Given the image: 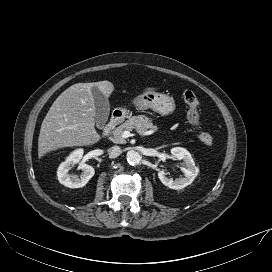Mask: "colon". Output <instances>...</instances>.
<instances>
[{
	"label": "colon",
	"mask_w": 272,
	"mask_h": 272,
	"mask_svg": "<svg viewBox=\"0 0 272 272\" xmlns=\"http://www.w3.org/2000/svg\"><path fill=\"white\" fill-rule=\"evenodd\" d=\"M183 101L187 106L186 118L188 123L195 129L200 128L199 100L196 94L191 90L183 92ZM198 139L204 145L210 146L214 142L212 134L207 131H199Z\"/></svg>",
	"instance_id": "colon-1"
}]
</instances>
